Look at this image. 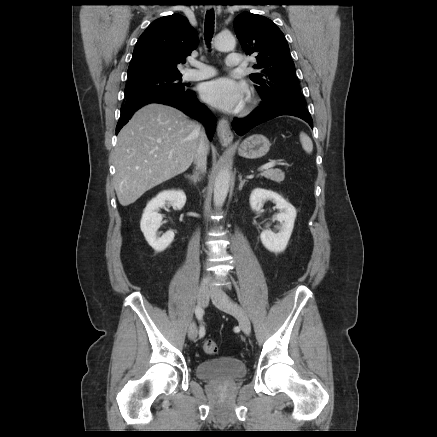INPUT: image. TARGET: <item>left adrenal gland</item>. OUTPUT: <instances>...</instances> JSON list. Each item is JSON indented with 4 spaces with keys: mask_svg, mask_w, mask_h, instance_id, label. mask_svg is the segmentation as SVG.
<instances>
[{
    "mask_svg": "<svg viewBox=\"0 0 437 437\" xmlns=\"http://www.w3.org/2000/svg\"><path fill=\"white\" fill-rule=\"evenodd\" d=\"M239 181H240V184H239V190H242L243 185L245 184V182H246L247 180H246V179H242V176L239 175Z\"/></svg>",
    "mask_w": 437,
    "mask_h": 437,
    "instance_id": "obj_1",
    "label": "left adrenal gland"
}]
</instances>
